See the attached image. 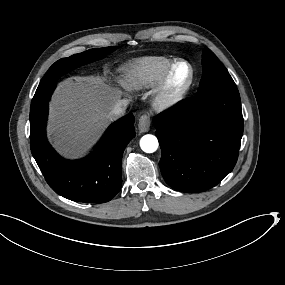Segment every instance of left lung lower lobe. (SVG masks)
<instances>
[{
    "label": "left lung lower lobe",
    "instance_id": "left-lung-lower-lobe-1",
    "mask_svg": "<svg viewBox=\"0 0 285 285\" xmlns=\"http://www.w3.org/2000/svg\"><path fill=\"white\" fill-rule=\"evenodd\" d=\"M160 170L173 189L196 193L216 186L234 168L243 134L237 87L212 88L154 120Z\"/></svg>",
    "mask_w": 285,
    "mask_h": 285
}]
</instances>
